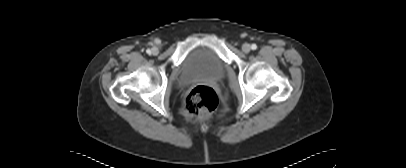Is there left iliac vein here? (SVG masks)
Masks as SVG:
<instances>
[{"label":"left iliac vein","mask_w":406,"mask_h":168,"mask_svg":"<svg viewBox=\"0 0 406 168\" xmlns=\"http://www.w3.org/2000/svg\"><path fill=\"white\" fill-rule=\"evenodd\" d=\"M250 50H251L250 44L244 43V44L242 45V51H243L244 53H249Z\"/></svg>","instance_id":"obj_1"}]
</instances>
